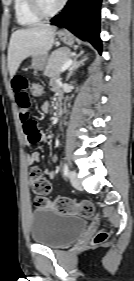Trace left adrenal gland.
I'll return each mask as SVG.
<instances>
[{
  "label": "left adrenal gland",
  "mask_w": 134,
  "mask_h": 281,
  "mask_svg": "<svg viewBox=\"0 0 134 281\" xmlns=\"http://www.w3.org/2000/svg\"><path fill=\"white\" fill-rule=\"evenodd\" d=\"M85 51H81L79 54H77L74 59H73V62L69 68V72H68V75H67V78H66V81L69 80L70 76L72 75L73 71L75 69H77L78 67H80L85 60H87L88 58L85 56L83 59L81 60H78L79 57H81L83 54H84Z\"/></svg>",
  "instance_id": "1"
}]
</instances>
